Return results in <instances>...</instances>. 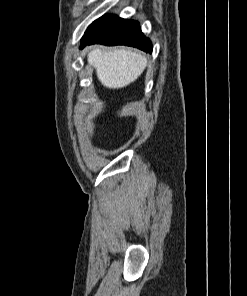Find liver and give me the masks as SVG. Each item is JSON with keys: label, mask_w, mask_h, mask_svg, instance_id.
Listing matches in <instances>:
<instances>
[{"label": "liver", "mask_w": 247, "mask_h": 296, "mask_svg": "<svg viewBox=\"0 0 247 296\" xmlns=\"http://www.w3.org/2000/svg\"><path fill=\"white\" fill-rule=\"evenodd\" d=\"M88 63L95 68L103 86L118 89L134 82L143 73L147 59L131 50L94 48L88 53Z\"/></svg>", "instance_id": "obj_1"}]
</instances>
